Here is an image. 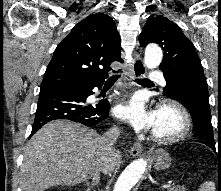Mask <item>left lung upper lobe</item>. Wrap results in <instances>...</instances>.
I'll list each match as a JSON object with an SVG mask.
<instances>
[{
    "label": "left lung upper lobe",
    "instance_id": "1",
    "mask_svg": "<svg viewBox=\"0 0 221 191\" xmlns=\"http://www.w3.org/2000/svg\"><path fill=\"white\" fill-rule=\"evenodd\" d=\"M140 45L149 43L159 44L164 51V58L159 69L163 71L166 87L164 95L168 98L184 103L181 94L183 86L193 78H205L203 68L191 41L183 34L182 30L172 21L163 16L151 18L145 24L140 37ZM205 130L197 134L210 148H215L211 120L204 125Z\"/></svg>",
    "mask_w": 221,
    "mask_h": 191
}]
</instances>
